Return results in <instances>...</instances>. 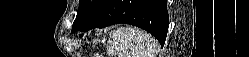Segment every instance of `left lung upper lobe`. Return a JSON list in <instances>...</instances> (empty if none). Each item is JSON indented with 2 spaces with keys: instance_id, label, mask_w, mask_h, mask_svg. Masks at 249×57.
Segmentation results:
<instances>
[{
  "instance_id": "obj_1",
  "label": "left lung upper lobe",
  "mask_w": 249,
  "mask_h": 57,
  "mask_svg": "<svg viewBox=\"0 0 249 57\" xmlns=\"http://www.w3.org/2000/svg\"><path fill=\"white\" fill-rule=\"evenodd\" d=\"M107 0H79L77 17L72 30H76L81 24L95 15Z\"/></svg>"
}]
</instances>
